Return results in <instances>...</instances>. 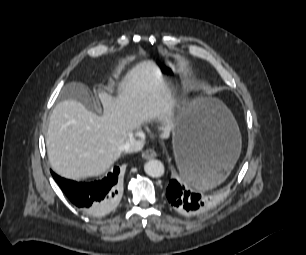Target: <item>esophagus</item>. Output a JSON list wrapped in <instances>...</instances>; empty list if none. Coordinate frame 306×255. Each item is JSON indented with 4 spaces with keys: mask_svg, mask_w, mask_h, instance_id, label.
I'll use <instances>...</instances> for the list:
<instances>
[{
    "mask_svg": "<svg viewBox=\"0 0 306 255\" xmlns=\"http://www.w3.org/2000/svg\"><path fill=\"white\" fill-rule=\"evenodd\" d=\"M157 156V153L153 149H147L142 153L143 159L149 160Z\"/></svg>",
    "mask_w": 306,
    "mask_h": 255,
    "instance_id": "esophagus-1",
    "label": "esophagus"
}]
</instances>
